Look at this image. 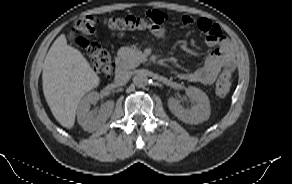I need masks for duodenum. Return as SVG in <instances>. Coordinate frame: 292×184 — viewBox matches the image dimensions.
<instances>
[{
    "label": "duodenum",
    "mask_w": 292,
    "mask_h": 184,
    "mask_svg": "<svg viewBox=\"0 0 292 184\" xmlns=\"http://www.w3.org/2000/svg\"><path fill=\"white\" fill-rule=\"evenodd\" d=\"M115 67L118 71V73H121L123 70V61L120 57H116L115 59Z\"/></svg>",
    "instance_id": "1"
}]
</instances>
